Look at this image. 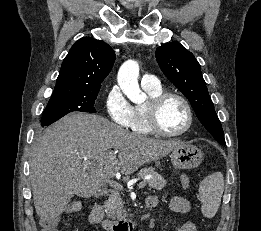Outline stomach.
I'll list each match as a JSON object with an SVG mask.
<instances>
[{
    "label": "stomach",
    "mask_w": 261,
    "mask_h": 231,
    "mask_svg": "<svg viewBox=\"0 0 261 231\" xmlns=\"http://www.w3.org/2000/svg\"><path fill=\"white\" fill-rule=\"evenodd\" d=\"M169 156L175 169H192L202 161L201 151L188 143L173 148Z\"/></svg>",
    "instance_id": "0dacf381"
}]
</instances>
